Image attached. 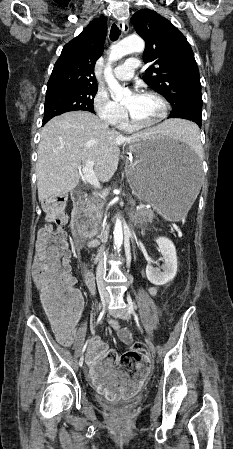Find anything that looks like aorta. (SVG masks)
Segmentation results:
<instances>
[{
    "label": "aorta",
    "mask_w": 233,
    "mask_h": 449,
    "mask_svg": "<svg viewBox=\"0 0 233 449\" xmlns=\"http://www.w3.org/2000/svg\"><path fill=\"white\" fill-rule=\"evenodd\" d=\"M144 48H145L144 41L138 36L127 37L111 47L108 59L109 62L104 71V76L110 89L111 97L113 98V100L120 101L124 97L129 96L131 94V91L128 88H123L114 78L111 68L112 62L130 53L134 52L140 53L144 50ZM113 234H114V248L119 252L123 244L122 220L119 216L116 218Z\"/></svg>",
    "instance_id": "1"
}]
</instances>
